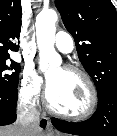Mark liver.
Instances as JSON below:
<instances>
[{
    "label": "liver",
    "mask_w": 117,
    "mask_h": 136,
    "mask_svg": "<svg viewBox=\"0 0 117 136\" xmlns=\"http://www.w3.org/2000/svg\"><path fill=\"white\" fill-rule=\"evenodd\" d=\"M22 130L19 124L0 127V136H22ZM39 130L34 131L32 136H40Z\"/></svg>",
    "instance_id": "6515ba94"
}]
</instances>
